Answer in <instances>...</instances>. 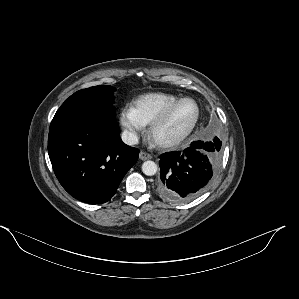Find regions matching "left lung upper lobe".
<instances>
[{"instance_id":"5c2ea615","label":"left lung upper lobe","mask_w":299,"mask_h":299,"mask_svg":"<svg viewBox=\"0 0 299 299\" xmlns=\"http://www.w3.org/2000/svg\"><path fill=\"white\" fill-rule=\"evenodd\" d=\"M213 142H214L215 146L217 145V146H219L221 148V144L222 143H221V141L219 140L218 137H215L214 140H213Z\"/></svg>"}]
</instances>
